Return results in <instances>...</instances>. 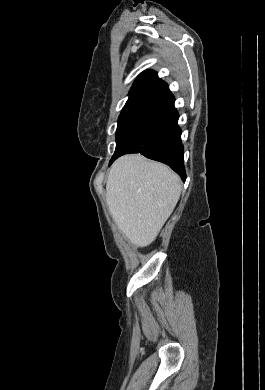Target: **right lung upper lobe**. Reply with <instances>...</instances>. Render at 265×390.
<instances>
[{"label": "right lung upper lobe", "instance_id": "obj_1", "mask_svg": "<svg viewBox=\"0 0 265 390\" xmlns=\"http://www.w3.org/2000/svg\"><path fill=\"white\" fill-rule=\"evenodd\" d=\"M170 92L168 85L158 78L155 71L141 73L129 91V99L157 100Z\"/></svg>", "mask_w": 265, "mask_h": 390}]
</instances>
